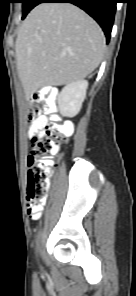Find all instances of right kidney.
I'll use <instances>...</instances> for the list:
<instances>
[{
    "mask_svg": "<svg viewBox=\"0 0 136 296\" xmlns=\"http://www.w3.org/2000/svg\"><path fill=\"white\" fill-rule=\"evenodd\" d=\"M88 88L87 80H80L67 84L57 97L61 115L74 117L82 107Z\"/></svg>",
    "mask_w": 136,
    "mask_h": 296,
    "instance_id": "1",
    "label": "right kidney"
}]
</instances>
